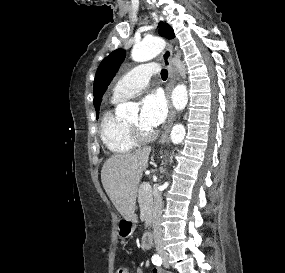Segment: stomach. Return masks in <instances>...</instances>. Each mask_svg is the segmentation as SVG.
Wrapping results in <instances>:
<instances>
[{
	"label": "stomach",
	"mask_w": 285,
	"mask_h": 273,
	"mask_svg": "<svg viewBox=\"0 0 285 273\" xmlns=\"http://www.w3.org/2000/svg\"><path fill=\"white\" fill-rule=\"evenodd\" d=\"M137 222V218H133L131 220L124 219L119 224V233L122 236H127L128 234H131L135 229V223Z\"/></svg>",
	"instance_id": "stomach-1"
}]
</instances>
